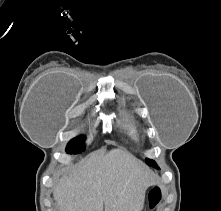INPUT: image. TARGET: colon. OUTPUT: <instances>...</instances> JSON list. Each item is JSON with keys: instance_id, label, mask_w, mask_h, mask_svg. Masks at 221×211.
I'll use <instances>...</instances> for the list:
<instances>
[{"instance_id": "5ec220e1", "label": "colon", "mask_w": 221, "mask_h": 211, "mask_svg": "<svg viewBox=\"0 0 221 211\" xmlns=\"http://www.w3.org/2000/svg\"><path fill=\"white\" fill-rule=\"evenodd\" d=\"M162 199V190L160 187H154L150 192L148 196V202L150 208H154L159 204V202Z\"/></svg>"}]
</instances>
